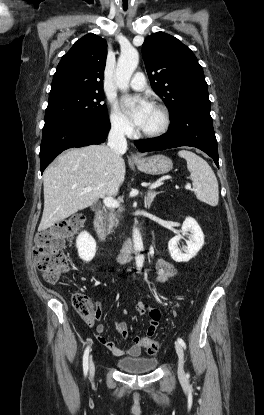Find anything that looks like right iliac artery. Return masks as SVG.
<instances>
[{
	"label": "right iliac artery",
	"mask_w": 264,
	"mask_h": 415,
	"mask_svg": "<svg viewBox=\"0 0 264 415\" xmlns=\"http://www.w3.org/2000/svg\"><path fill=\"white\" fill-rule=\"evenodd\" d=\"M89 352H90V347L87 346V348L84 351L83 354V371H84V375H87L88 372V357H89Z\"/></svg>",
	"instance_id": "82829eb1"
}]
</instances>
